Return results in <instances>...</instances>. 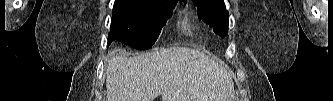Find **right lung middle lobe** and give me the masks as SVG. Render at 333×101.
<instances>
[{
  "label": "right lung middle lobe",
  "instance_id": "1",
  "mask_svg": "<svg viewBox=\"0 0 333 101\" xmlns=\"http://www.w3.org/2000/svg\"><path fill=\"white\" fill-rule=\"evenodd\" d=\"M177 1L115 0L108 44L118 40L136 49L151 48Z\"/></svg>",
  "mask_w": 333,
  "mask_h": 101
}]
</instances>
